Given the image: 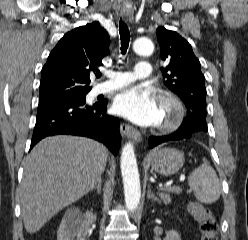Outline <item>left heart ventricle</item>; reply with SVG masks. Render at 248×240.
Listing matches in <instances>:
<instances>
[{"mask_svg":"<svg viewBox=\"0 0 248 240\" xmlns=\"http://www.w3.org/2000/svg\"><path fill=\"white\" fill-rule=\"evenodd\" d=\"M159 107H160L161 119H163L168 113V108L160 103H159Z\"/></svg>","mask_w":248,"mask_h":240,"instance_id":"left-heart-ventricle-1","label":"left heart ventricle"}]
</instances>
